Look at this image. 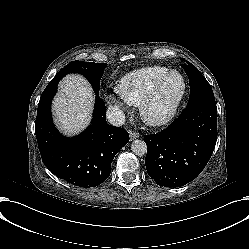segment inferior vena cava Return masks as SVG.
<instances>
[{
  "label": "inferior vena cava",
  "instance_id": "1",
  "mask_svg": "<svg viewBox=\"0 0 249 249\" xmlns=\"http://www.w3.org/2000/svg\"><path fill=\"white\" fill-rule=\"evenodd\" d=\"M107 122L113 126H122L125 123L124 112L115 105H110L106 112Z\"/></svg>",
  "mask_w": 249,
  "mask_h": 249
}]
</instances>
